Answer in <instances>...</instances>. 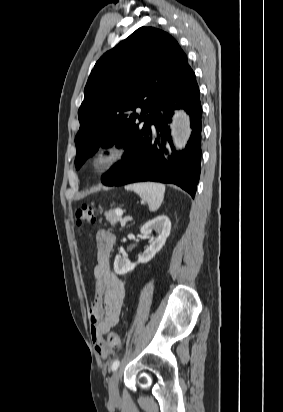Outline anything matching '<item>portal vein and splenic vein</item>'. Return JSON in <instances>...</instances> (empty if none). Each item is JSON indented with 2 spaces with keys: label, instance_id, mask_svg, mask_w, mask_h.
Returning a JSON list of instances; mask_svg holds the SVG:
<instances>
[{
  "label": "portal vein and splenic vein",
  "instance_id": "18ae733b",
  "mask_svg": "<svg viewBox=\"0 0 283 412\" xmlns=\"http://www.w3.org/2000/svg\"><path fill=\"white\" fill-rule=\"evenodd\" d=\"M115 212H116V214H117L118 216L122 217V215H123L122 209L117 208V209L115 210Z\"/></svg>",
  "mask_w": 283,
  "mask_h": 412
}]
</instances>
